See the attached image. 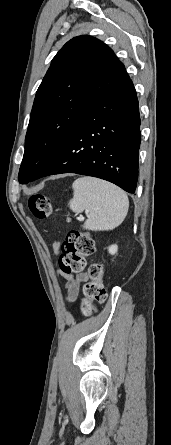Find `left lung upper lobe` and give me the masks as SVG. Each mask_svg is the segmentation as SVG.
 I'll use <instances>...</instances> for the list:
<instances>
[{
    "label": "left lung upper lobe",
    "mask_w": 171,
    "mask_h": 445,
    "mask_svg": "<svg viewBox=\"0 0 171 445\" xmlns=\"http://www.w3.org/2000/svg\"><path fill=\"white\" fill-rule=\"evenodd\" d=\"M128 79L124 65L100 40L78 36L68 41L53 58L37 90L19 182L32 178L79 118Z\"/></svg>",
    "instance_id": "1"
}]
</instances>
